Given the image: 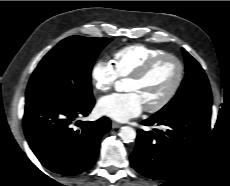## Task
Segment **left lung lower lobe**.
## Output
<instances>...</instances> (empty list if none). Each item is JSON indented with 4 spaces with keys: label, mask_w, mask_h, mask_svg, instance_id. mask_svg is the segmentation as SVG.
<instances>
[{
    "label": "left lung lower lobe",
    "mask_w": 230,
    "mask_h": 186,
    "mask_svg": "<svg viewBox=\"0 0 230 186\" xmlns=\"http://www.w3.org/2000/svg\"><path fill=\"white\" fill-rule=\"evenodd\" d=\"M210 119L211 105H195L144 120V125H162L166 129L138 130L137 144L130 155L132 167L152 179H170L204 145Z\"/></svg>",
    "instance_id": "0a47b994"
}]
</instances>
